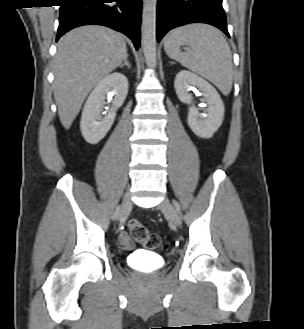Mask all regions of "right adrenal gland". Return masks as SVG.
I'll return each instance as SVG.
<instances>
[{"label": "right adrenal gland", "mask_w": 304, "mask_h": 329, "mask_svg": "<svg viewBox=\"0 0 304 329\" xmlns=\"http://www.w3.org/2000/svg\"><path fill=\"white\" fill-rule=\"evenodd\" d=\"M124 66H127L128 69H130L131 65L128 62V55L126 56V58L124 59V62L119 66V68H123Z\"/></svg>", "instance_id": "obj_1"}]
</instances>
